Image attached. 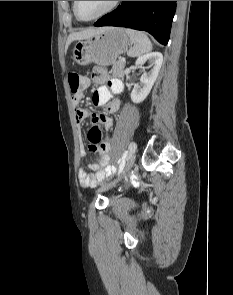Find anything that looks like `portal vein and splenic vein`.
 Returning a JSON list of instances; mask_svg holds the SVG:
<instances>
[{"label":"portal vein and splenic vein","mask_w":233,"mask_h":295,"mask_svg":"<svg viewBox=\"0 0 233 295\" xmlns=\"http://www.w3.org/2000/svg\"><path fill=\"white\" fill-rule=\"evenodd\" d=\"M120 60H121V61H125V58H121Z\"/></svg>","instance_id":"obj_1"}]
</instances>
